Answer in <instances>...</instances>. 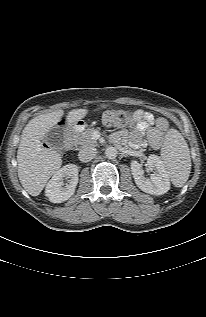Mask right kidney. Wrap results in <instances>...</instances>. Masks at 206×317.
Instances as JSON below:
<instances>
[{
  "mask_svg": "<svg viewBox=\"0 0 206 317\" xmlns=\"http://www.w3.org/2000/svg\"><path fill=\"white\" fill-rule=\"evenodd\" d=\"M64 180H67L66 184ZM77 183L78 167L75 164L65 165L48 182L45 189L46 196L53 203L64 202L74 194Z\"/></svg>",
  "mask_w": 206,
  "mask_h": 317,
  "instance_id": "obj_1",
  "label": "right kidney"
}]
</instances>
